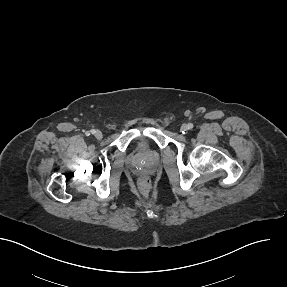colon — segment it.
Instances as JSON below:
<instances>
[{
  "label": "colon",
  "mask_w": 287,
  "mask_h": 287,
  "mask_svg": "<svg viewBox=\"0 0 287 287\" xmlns=\"http://www.w3.org/2000/svg\"><path fill=\"white\" fill-rule=\"evenodd\" d=\"M138 189L142 194H146L150 189V180L147 176L138 179Z\"/></svg>",
  "instance_id": "5ec220e1"
}]
</instances>
